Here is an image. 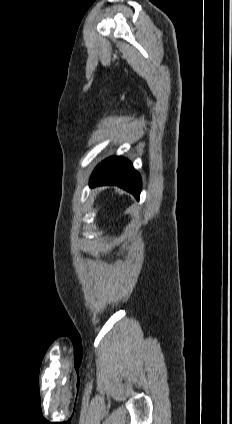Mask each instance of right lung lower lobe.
I'll return each instance as SVG.
<instances>
[{
	"label": "right lung lower lobe",
	"instance_id": "right-lung-lower-lobe-1",
	"mask_svg": "<svg viewBox=\"0 0 232 424\" xmlns=\"http://www.w3.org/2000/svg\"><path fill=\"white\" fill-rule=\"evenodd\" d=\"M117 185L132 193L137 199L141 192V178L130 163L122 157H110L94 170L90 186Z\"/></svg>",
	"mask_w": 232,
	"mask_h": 424
}]
</instances>
